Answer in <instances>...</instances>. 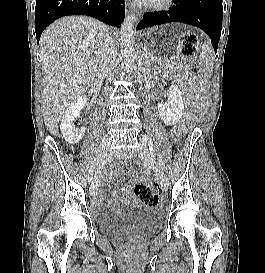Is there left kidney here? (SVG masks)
<instances>
[{
    "label": "left kidney",
    "mask_w": 265,
    "mask_h": 273,
    "mask_svg": "<svg viewBox=\"0 0 265 273\" xmlns=\"http://www.w3.org/2000/svg\"><path fill=\"white\" fill-rule=\"evenodd\" d=\"M157 105L159 115L166 125L176 124L181 119L185 108L181 91L176 85L170 86L168 101L166 103L159 102Z\"/></svg>",
    "instance_id": "5707ae66"
}]
</instances>
